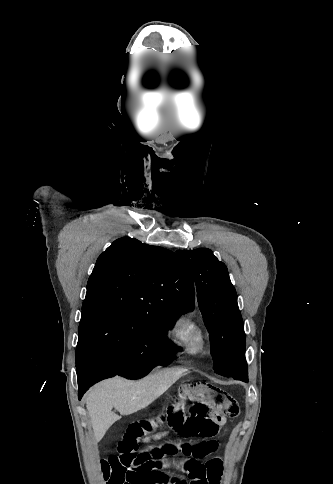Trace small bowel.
Instances as JSON below:
<instances>
[{"mask_svg":"<svg viewBox=\"0 0 333 484\" xmlns=\"http://www.w3.org/2000/svg\"><path fill=\"white\" fill-rule=\"evenodd\" d=\"M238 413L236 401L227 392L207 383L181 385L167 409L139 419L127 429L118 453L102 460L108 484H219L222 461L211 457L218 448L214 437L228 417ZM168 429L185 442L168 440L161 446L141 450L143 437ZM197 441L192 442V439ZM190 440V441H186ZM175 465L182 475L164 471Z\"/></svg>","mask_w":333,"mask_h":484,"instance_id":"small-bowel-1","label":"small bowel"}]
</instances>
